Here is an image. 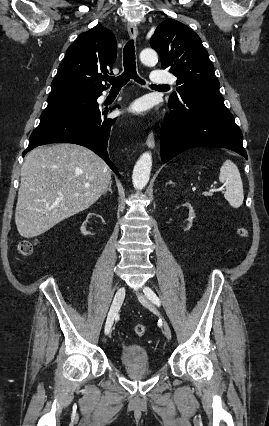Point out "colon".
I'll use <instances>...</instances> for the list:
<instances>
[{
	"label": "colon",
	"mask_w": 269,
	"mask_h": 426,
	"mask_svg": "<svg viewBox=\"0 0 269 426\" xmlns=\"http://www.w3.org/2000/svg\"><path fill=\"white\" fill-rule=\"evenodd\" d=\"M238 234L240 237H246L247 236V230L244 227L239 228ZM35 247V242L33 240H22L17 245L18 253L26 256L30 255ZM134 332L136 336L138 337H144L147 334V327L144 324H137L134 327Z\"/></svg>",
	"instance_id": "5ec220e1"
}]
</instances>
